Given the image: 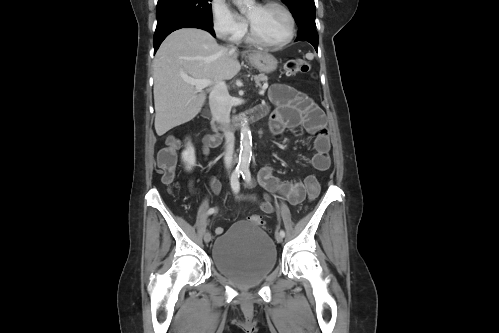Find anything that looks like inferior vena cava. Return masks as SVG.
<instances>
[{
  "instance_id": "1",
  "label": "inferior vena cava",
  "mask_w": 499,
  "mask_h": 333,
  "mask_svg": "<svg viewBox=\"0 0 499 333\" xmlns=\"http://www.w3.org/2000/svg\"><path fill=\"white\" fill-rule=\"evenodd\" d=\"M231 48L234 49L232 46ZM209 105L213 118L223 127L226 144L224 164L230 170L233 166L234 133L230 129L231 102L225 81L215 83L209 95Z\"/></svg>"
}]
</instances>
